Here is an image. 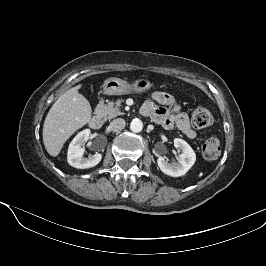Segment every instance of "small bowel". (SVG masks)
<instances>
[{
	"instance_id": "small-bowel-1",
	"label": "small bowel",
	"mask_w": 266,
	"mask_h": 266,
	"mask_svg": "<svg viewBox=\"0 0 266 266\" xmlns=\"http://www.w3.org/2000/svg\"><path fill=\"white\" fill-rule=\"evenodd\" d=\"M152 100L142 105V114L167 129L177 127L186 137L196 138L197 133L192 128L188 115L181 110V106L171 94L157 91L152 94Z\"/></svg>"
}]
</instances>
